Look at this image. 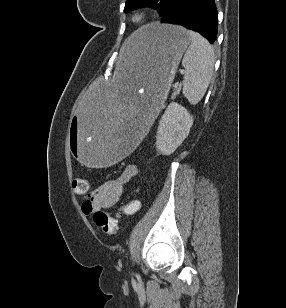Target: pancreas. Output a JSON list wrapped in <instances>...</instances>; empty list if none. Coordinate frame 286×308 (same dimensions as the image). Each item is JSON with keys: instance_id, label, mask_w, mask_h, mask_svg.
Here are the masks:
<instances>
[{"instance_id": "pancreas-1", "label": "pancreas", "mask_w": 286, "mask_h": 308, "mask_svg": "<svg viewBox=\"0 0 286 308\" xmlns=\"http://www.w3.org/2000/svg\"><path fill=\"white\" fill-rule=\"evenodd\" d=\"M179 93H180V87H177L175 92L172 94V99H175Z\"/></svg>"}]
</instances>
